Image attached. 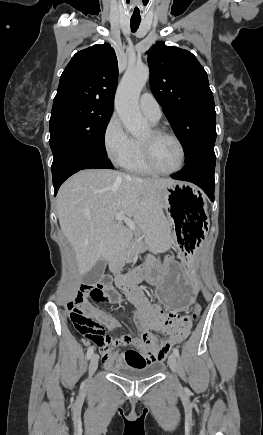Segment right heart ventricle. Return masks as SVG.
<instances>
[{"label": "right heart ventricle", "instance_id": "1", "mask_svg": "<svg viewBox=\"0 0 263 435\" xmlns=\"http://www.w3.org/2000/svg\"><path fill=\"white\" fill-rule=\"evenodd\" d=\"M124 167L132 173L139 175H151L153 172L148 168L142 147V141L138 139H134V149L132 156L128 160V162L124 165Z\"/></svg>", "mask_w": 263, "mask_h": 435}]
</instances>
